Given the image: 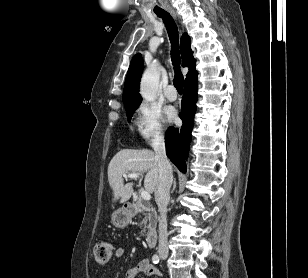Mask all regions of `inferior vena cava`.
<instances>
[{
    "mask_svg": "<svg viewBox=\"0 0 308 278\" xmlns=\"http://www.w3.org/2000/svg\"><path fill=\"white\" fill-rule=\"evenodd\" d=\"M153 148L159 167V179L155 189V201L160 212L159 220V253H168L167 205L170 200V188L173 181L172 167L166 156L163 133H158L153 140Z\"/></svg>",
    "mask_w": 308,
    "mask_h": 278,
    "instance_id": "inferior-vena-cava-1",
    "label": "inferior vena cava"
}]
</instances>
